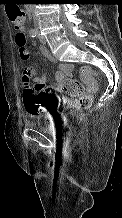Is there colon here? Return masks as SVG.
Returning <instances> with one entry per match:
<instances>
[{
  "label": "colon",
  "mask_w": 122,
  "mask_h": 218,
  "mask_svg": "<svg viewBox=\"0 0 122 218\" xmlns=\"http://www.w3.org/2000/svg\"><path fill=\"white\" fill-rule=\"evenodd\" d=\"M7 13L10 21L17 31L15 42L19 49L20 58L22 60H27L29 58V54L26 50L27 39L22 33V29L26 21L25 13L21 8L14 5H11L7 8ZM80 75L82 80L87 85V93L85 92V88L82 83L76 79H66L62 86L68 95L75 97L78 100L80 107L88 108L92 102L90 93L94 92L97 88V72L89 66H83L80 69ZM30 79L31 76L29 71L25 70L22 74V81L24 84V106L29 113H39L40 111L34 101L36 91L32 87ZM70 115L73 116V113L70 112Z\"/></svg>",
  "instance_id": "5ec220e1"
}]
</instances>
